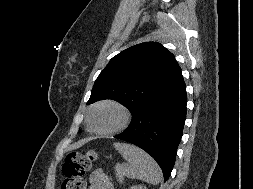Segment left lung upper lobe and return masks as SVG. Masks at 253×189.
I'll return each instance as SVG.
<instances>
[{
	"instance_id": "obj_1",
	"label": "left lung upper lobe",
	"mask_w": 253,
	"mask_h": 189,
	"mask_svg": "<svg viewBox=\"0 0 253 189\" xmlns=\"http://www.w3.org/2000/svg\"><path fill=\"white\" fill-rule=\"evenodd\" d=\"M181 75L174 55L157 42L132 46L114 56L96 79L87 104L113 99L134 116Z\"/></svg>"
}]
</instances>
